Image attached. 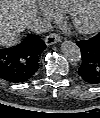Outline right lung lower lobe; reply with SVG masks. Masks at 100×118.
Instances as JSON below:
<instances>
[{"label":"right lung lower lobe","instance_id":"obj_1","mask_svg":"<svg viewBox=\"0 0 100 118\" xmlns=\"http://www.w3.org/2000/svg\"><path fill=\"white\" fill-rule=\"evenodd\" d=\"M45 48L37 35L29 34L19 45L0 49V77L13 83L29 80L36 74Z\"/></svg>","mask_w":100,"mask_h":118}]
</instances>
